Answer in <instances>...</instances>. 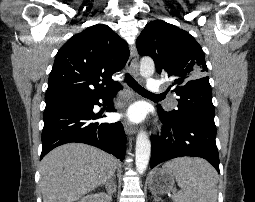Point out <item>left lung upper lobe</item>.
Wrapping results in <instances>:
<instances>
[{"mask_svg":"<svg viewBox=\"0 0 255 202\" xmlns=\"http://www.w3.org/2000/svg\"><path fill=\"white\" fill-rule=\"evenodd\" d=\"M141 56H150L159 74L171 79L178 109L166 112L171 119L201 117L214 121L212 91L204 52L186 31L162 20L148 23L136 41Z\"/></svg>","mask_w":255,"mask_h":202,"instance_id":"left-lung-upper-lobe-1","label":"left lung upper lobe"}]
</instances>
